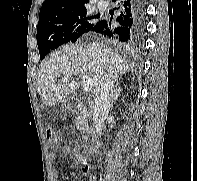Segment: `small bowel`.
Listing matches in <instances>:
<instances>
[{
  "mask_svg": "<svg viewBox=\"0 0 197 181\" xmlns=\"http://www.w3.org/2000/svg\"><path fill=\"white\" fill-rule=\"evenodd\" d=\"M72 152H73V149L70 148V147H65V148L62 150V154H63L64 156L70 155ZM55 159H56V155H55V154H51V160H52V162H54ZM81 161H82V160H81L80 157H76V158H75V163H76V164L81 163Z\"/></svg>",
  "mask_w": 197,
  "mask_h": 181,
  "instance_id": "1",
  "label": "small bowel"
}]
</instances>
